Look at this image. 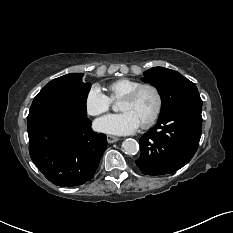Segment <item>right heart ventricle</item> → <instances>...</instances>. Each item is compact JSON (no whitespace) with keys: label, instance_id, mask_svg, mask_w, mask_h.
<instances>
[{"label":"right heart ventricle","instance_id":"1","mask_svg":"<svg viewBox=\"0 0 233 233\" xmlns=\"http://www.w3.org/2000/svg\"><path fill=\"white\" fill-rule=\"evenodd\" d=\"M141 85L140 82L129 78H121L108 85L111 100H120L130 91Z\"/></svg>","mask_w":233,"mask_h":233}]
</instances>
